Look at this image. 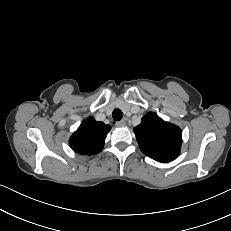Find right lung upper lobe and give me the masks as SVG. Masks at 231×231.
Instances as JSON below:
<instances>
[{"mask_svg": "<svg viewBox=\"0 0 231 231\" xmlns=\"http://www.w3.org/2000/svg\"><path fill=\"white\" fill-rule=\"evenodd\" d=\"M111 127L93 117L87 118L70 137V147L81 155L99 153Z\"/></svg>", "mask_w": 231, "mask_h": 231, "instance_id": "obj_1", "label": "right lung upper lobe"}]
</instances>
